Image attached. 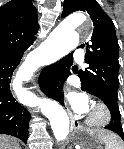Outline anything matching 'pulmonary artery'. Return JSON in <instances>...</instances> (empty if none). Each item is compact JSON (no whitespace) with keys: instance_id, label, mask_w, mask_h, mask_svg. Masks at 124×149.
Returning a JSON list of instances; mask_svg holds the SVG:
<instances>
[{"instance_id":"obj_1","label":"pulmonary artery","mask_w":124,"mask_h":149,"mask_svg":"<svg viewBox=\"0 0 124 149\" xmlns=\"http://www.w3.org/2000/svg\"><path fill=\"white\" fill-rule=\"evenodd\" d=\"M74 58L78 61H83L84 59V52L82 49H76V51L74 52Z\"/></svg>"}]
</instances>
